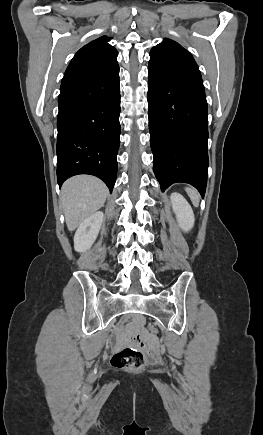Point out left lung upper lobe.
I'll use <instances>...</instances> for the list:
<instances>
[{
  "instance_id": "5c2ea615",
  "label": "left lung upper lobe",
  "mask_w": 263,
  "mask_h": 435,
  "mask_svg": "<svg viewBox=\"0 0 263 435\" xmlns=\"http://www.w3.org/2000/svg\"><path fill=\"white\" fill-rule=\"evenodd\" d=\"M150 57V61L169 72L202 80L193 56L173 40L165 38L151 49Z\"/></svg>"
}]
</instances>
